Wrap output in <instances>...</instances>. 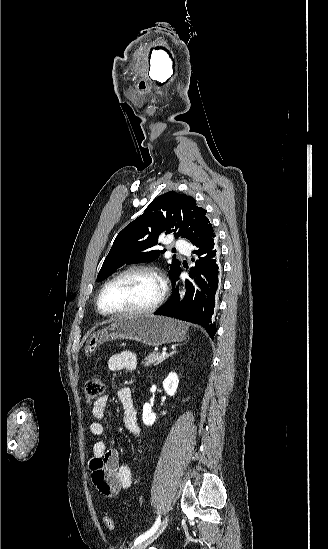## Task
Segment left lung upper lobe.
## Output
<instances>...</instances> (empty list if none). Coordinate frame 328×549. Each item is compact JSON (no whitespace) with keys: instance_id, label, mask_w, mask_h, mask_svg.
<instances>
[{"instance_id":"left-lung-upper-lobe-1","label":"left lung upper lobe","mask_w":328,"mask_h":549,"mask_svg":"<svg viewBox=\"0 0 328 549\" xmlns=\"http://www.w3.org/2000/svg\"><path fill=\"white\" fill-rule=\"evenodd\" d=\"M164 231L165 234L182 236L196 247L214 236L206 210L199 207L191 196L169 191L155 198L141 216L117 235L99 271L97 281L106 279L126 264L155 260L160 251H155L154 247L158 243V236ZM180 271L178 260L175 259L168 265V274L172 281Z\"/></svg>"}]
</instances>
